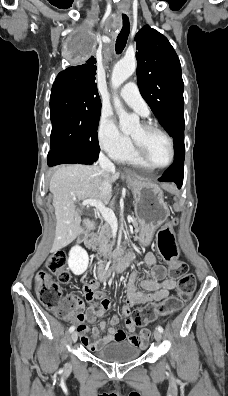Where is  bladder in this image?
Segmentation results:
<instances>
[{"mask_svg": "<svg viewBox=\"0 0 228 396\" xmlns=\"http://www.w3.org/2000/svg\"><path fill=\"white\" fill-rule=\"evenodd\" d=\"M98 359L108 363H128L142 355V348L129 341H113L92 351Z\"/></svg>", "mask_w": 228, "mask_h": 396, "instance_id": "31cf9c89", "label": "bladder"}]
</instances>
